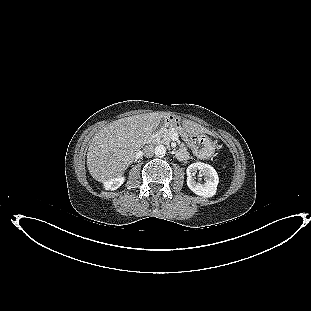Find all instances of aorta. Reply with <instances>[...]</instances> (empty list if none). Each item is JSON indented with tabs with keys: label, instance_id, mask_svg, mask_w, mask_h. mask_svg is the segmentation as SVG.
I'll use <instances>...</instances> for the list:
<instances>
[{
	"label": "aorta",
	"instance_id": "obj_1",
	"mask_svg": "<svg viewBox=\"0 0 311 311\" xmlns=\"http://www.w3.org/2000/svg\"><path fill=\"white\" fill-rule=\"evenodd\" d=\"M154 153L157 157H164L166 154V147L164 145H158L155 147Z\"/></svg>",
	"mask_w": 311,
	"mask_h": 311
}]
</instances>
